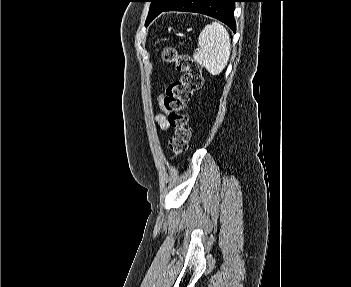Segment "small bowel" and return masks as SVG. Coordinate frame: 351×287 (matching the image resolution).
<instances>
[{
	"mask_svg": "<svg viewBox=\"0 0 351 287\" xmlns=\"http://www.w3.org/2000/svg\"><path fill=\"white\" fill-rule=\"evenodd\" d=\"M157 121L160 124L162 129L168 128V123H167L166 117L163 113H161L157 116Z\"/></svg>",
	"mask_w": 351,
	"mask_h": 287,
	"instance_id": "c3829d8e",
	"label": "small bowel"
}]
</instances>
